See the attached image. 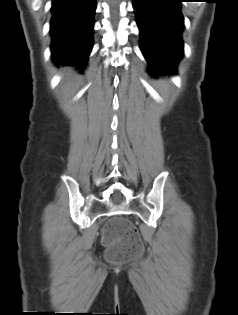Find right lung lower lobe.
<instances>
[{
	"instance_id": "obj_1",
	"label": "right lung lower lobe",
	"mask_w": 238,
	"mask_h": 315,
	"mask_svg": "<svg viewBox=\"0 0 238 315\" xmlns=\"http://www.w3.org/2000/svg\"><path fill=\"white\" fill-rule=\"evenodd\" d=\"M96 0H52L50 20L53 62L86 68L93 47Z\"/></svg>"
}]
</instances>
